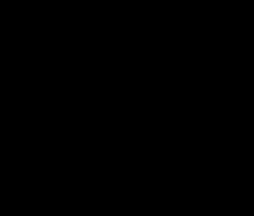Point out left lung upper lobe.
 <instances>
[{
	"mask_svg": "<svg viewBox=\"0 0 254 216\" xmlns=\"http://www.w3.org/2000/svg\"><path fill=\"white\" fill-rule=\"evenodd\" d=\"M137 52L166 63L182 77L183 85L173 95L158 127L167 130L159 144L147 149L149 159L160 167H185L198 153L210 118V105L194 60L163 42L145 41Z\"/></svg>",
	"mask_w": 254,
	"mask_h": 216,
	"instance_id": "1",
	"label": "left lung upper lobe"
}]
</instances>
